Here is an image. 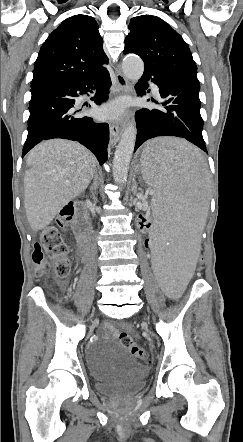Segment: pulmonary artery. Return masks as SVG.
Instances as JSON below:
<instances>
[{
  "label": "pulmonary artery",
  "instance_id": "1",
  "mask_svg": "<svg viewBox=\"0 0 243 442\" xmlns=\"http://www.w3.org/2000/svg\"><path fill=\"white\" fill-rule=\"evenodd\" d=\"M151 90L155 96H159V89L155 84H151Z\"/></svg>",
  "mask_w": 243,
  "mask_h": 442
}]
</instances>
